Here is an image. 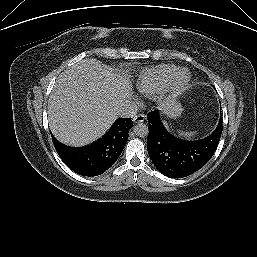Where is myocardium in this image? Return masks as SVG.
I'll return each mask as SVG.
<instances>
[{
  "label": "myocardium",
  "mask_w": 257,
  "mask_h": 257,
  "mask_svg": "<svg viewBox=\"0 0 257 257\" xmlns=\"http://www.w3.org/2000/svg\"><path fill=\"white\" fill-rule=\"evenodd\" d=\"M191 81L190 73L185 69H177L168 78L161 94L167 97H177L183 93Z\"/></svg>",
  "instance_id": "f54148a6"
}]
</instances>
